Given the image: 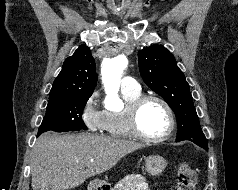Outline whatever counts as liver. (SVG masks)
Masks as SVG:
<instances>
[{
  "instance_id": "6515ba94",
  "label": "liver",
  "mask_w": 238,
  "mask_h": 190,
  "mask_svg": "<svg viewBox=\"0 0 238 190\" xmlns=\"http://www.w3.org/2000/svg\"><path fill=\"white\" fill-rule=\"evenodd\" d=\"M144 145L89 133L42 134L33 148V190H68L114 167Z\"/></svg>"
}]
</instances>
